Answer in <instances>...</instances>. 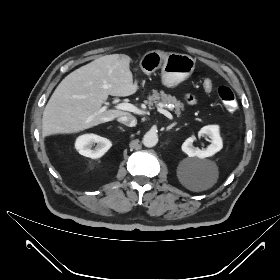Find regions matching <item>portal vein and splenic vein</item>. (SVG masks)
<instances>
[{
  "label": "portal vein and splenic vein",
  "mask_w": 280,
  "mask_h": 280,
  "mask_svg": "<svg viewBox=\"0 0 280 280\" xmlns=\"http://www.w3.org/2000/svg\"><path fill=\"white\" fill-rule=\"evenodd\" d=\"M115 108L118 109V110H125V111H129V112H133L135 114H146L145 111L140 110L138 107H136V106H134L133 104H130V103H119L115 106ZM106 109H107V106L104 105L101 108V111L103 112ZM158 111L161 114L165 115L167 118H169L171 120L173 119V115L169 111H167L165 109H162V108H158Z\"/></svg>",
  "instance_id": "obj_1"
}]
</instances>
